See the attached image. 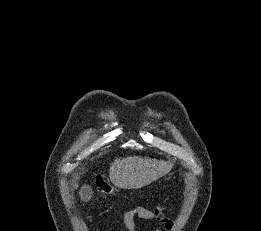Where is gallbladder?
Wrapping results in <instances>:
<instances>
[{
  "label": "gallbladder",
  "mask_w": 261,
  "mask_h": 231,
  "mask_svg": "<svg viewBox=\"0 0 261 231\" xmlns=\"http://www.w3.org/2000/svg\"><path fill=\"white\" fill-rule=\"evenodd\" d=\"M88 189H89V188H88ZM86 190H87V189H86ZM86 190H83V189L81 190V192H80V193H81V197H82V195H90V194H86Z\"/></svg>",
  "instance_id": "bac80fb5"
}]
</instances>
